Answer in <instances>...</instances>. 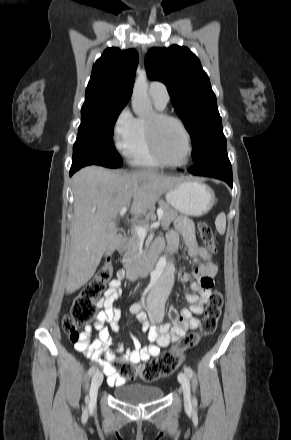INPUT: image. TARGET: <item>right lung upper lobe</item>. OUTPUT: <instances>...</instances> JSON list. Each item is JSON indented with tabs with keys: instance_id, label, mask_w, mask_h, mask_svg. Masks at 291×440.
Returning <instances> with one entry per match:
<instances>
[{
	"instance_id": "obj_1",
	"label": "right lung upper lobe",
	"mask_w": 291,
	"mask_h": 440,
	"mask_svg": "<svg viewBox=\"0 0 291 440\" xmlns=\"http://www.w3.org/2000/svg\"><path fill=\"white\" fill-rule=\"evenodd\" d=\"M138 60L135 49H106L93 65L84 104H127L132 95Z\"/></svg>"
}]
</instances>
